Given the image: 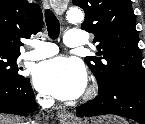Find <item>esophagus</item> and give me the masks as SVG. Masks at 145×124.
I'll return each instance as SVG.
<instances>
[{"label": "esophagus", "instance_id": "1", "mask_svg": "<svg viewBox=\"0 0 145 124\" xmlns=\"http://www.w3.org/2000/svg\"><path fill=\"white\" fill-rule=\"evenodd\" d=\"M46 2H48V1H46ZM55 10H56L57 14L62 13L61 9L55 8ZM57 116H58L59 120L65 124H72L75 121L74 115L63 108L58 109Z\"/></svg>", "mask_w": 145, "mask_h": 124}]
</instances>
